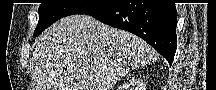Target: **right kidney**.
Masks as SVG:
<instances>
[{
	"mask_svg": "<svg viewBox=\"0 0 216 90\" xmlns=\"http://www.w3.org/2000/svg\"><path fill=\"white\" fill-rule=\"evenodd\" d=\"M130 86H132V88H130ZM127 90H138V88H140V86H133V84H128V86H126Z\"/></svg>",
	"mask_w": 216,
	"mask_h": 90,
	"instance_id": "ca27d5eb",
	"label": "right kidney"
}]
</instances>
